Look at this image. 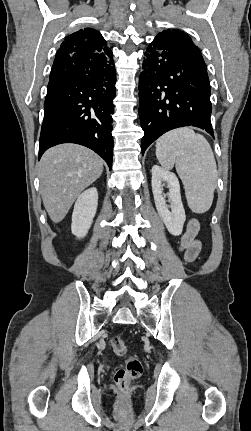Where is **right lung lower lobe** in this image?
Segmentation results:
<instances>
[{
    "label": "right lung lower lobe",
    "instance_id": "right-lung-lower-lobe-1",
    "mask_svg": "<svg viewBox=\"0 0 251 431\" xmlns=\"http://www.w3.org/2000/svg\"><path fill=\"white\" fill-rule=\"evenodd\" d=\"M112 56L91 48L73 54L58 50L44 103L39 158L52 146L76 143L95 151L111 170L116 95Z\"/></svg>",
    "mask_w": 251,
    "mask_h": 431
}]
</instances>
